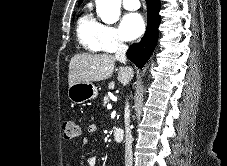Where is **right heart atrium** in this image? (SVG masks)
<instances>
[{
  "instance_id": "1",
  "label": "right heart atrium",
  "mask_w": 227,
  "mask_h": 166,
  "mask_svg": "<svg viewBox=\"0 0 227 166\" xmlns=\"http://www.w3.org/2000/svg\"><path fill=\"white\" fill-rule=\"evenodd\" d=\"M103 50L110 52L123 46V41L117 29L110 25H104L102 31Z\"/></svg>"
}]
</instances>
